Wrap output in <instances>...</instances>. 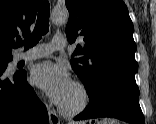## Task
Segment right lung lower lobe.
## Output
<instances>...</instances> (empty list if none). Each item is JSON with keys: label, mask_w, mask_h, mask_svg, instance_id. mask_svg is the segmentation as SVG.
Returning a JSON list of instances; mask_svg holds the SVG:
<instances>
[{"label": "right lung lower lobe", "mask_w": 156, "mask_h": 124, "mask_svg": "<svg viewBox=\"0 0 156 124\" xmlns=\"http://www.w3.org/2000/svg\"><path fill=\"white\" fill-rule=\"evenodd\" d=\"M7 65L0 61V124H48L47 110L28 86L26 72L6 77Z\"/></svg>", "instance_id": "right-lung-lower-lobe-1"}]
</instances>
